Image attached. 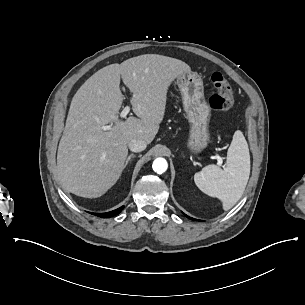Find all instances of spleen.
<instances>
[{"label": "spleen", "instance_id": "3e777b00", "mask_svg": "<svg viewBox=\"0 0 305 305\" xmlns=\"http://www.w3.org/2000/svg\"><path fill=\"white\" fill-rule=\"evenodd\" d=\"M250 175V154L247 141L240 130L235 131L227 151L226 168L211 164L195 173L197 187L223 202L224 210L232 208L243 195Z\"/></svg>", "mask_w": 305, "mask_h": 305}]
</instances>
